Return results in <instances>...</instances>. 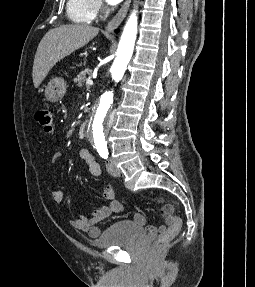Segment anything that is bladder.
I'll list each match as a JSON object with an SVG mask.
<instances>
[{"mask_svg":"<svg viewBox=\"0 0 255 287\" xmlns=\"http://www.w3.org/2000/svg\"><path fill=\"white\" fill-rule=\"evenodd\" d=\"M145 233L146 229L134 221L122 220L104 230L93 243L99 248L126 245L134 243Z\"/></svg>","mask_w":255,"mask_h":287,"instance_id":"31cf9c89","label":"bladder"}]
</instances>
